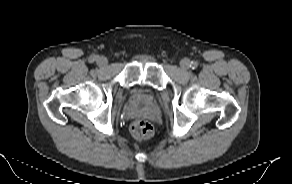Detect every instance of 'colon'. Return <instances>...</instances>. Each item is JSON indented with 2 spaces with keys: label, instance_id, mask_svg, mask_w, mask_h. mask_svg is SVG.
Here are the masks:
<instances>
[{
  "label": "colon",
  "instance_id": "1",
  "mask_svg": "<svg viewBox=\"0 0 292 184\" xmlns=\"http://www.w3.org/2000/svg\"><path fill=\"white\" fill-rule=\"evenodd\" d=\"M132 135L139 140L148 139L153 136L154 128L151 123L145 120H136L131 124Z\"/></svg>",
  "mask_w": 292,
  "mask_h": 184
}]
</instances>
